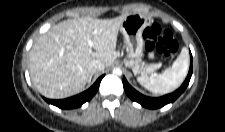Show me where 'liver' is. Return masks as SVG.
Returning <instances> with one entry per match:
<instances>
[{
  "mask_svg": "<svg viewBox=\"0 0 225 132\" xmlns=\"http://www.w3.org/2000/svg\"><path fill=\"white\" fill-rule=\"evenodd\" d=\"M127 15L113 19L80 17L52 26L29 53L34 87L51 99L79 93L92 76L89 65L93 60L101 61L105 67L114 63L118 31Z\"/></svg>",
  "mask_w": 225,
  "mask_h": 132,
  "instance_id": "obj_1",
  "label": "liver"
}]
</instances>
